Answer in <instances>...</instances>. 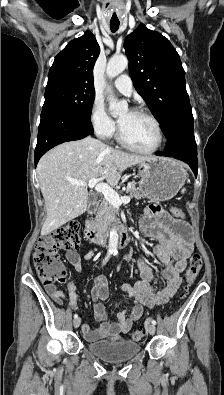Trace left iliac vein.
Returning <instances> with one entry per match:
<instances>
[{
	"label": "left iliac vein",
	"mask_w": 224,
	"mask_h": 395,
	"mask_svg": "<svg viewBox=\"0 0 224 395\" xmlns=\"http://www.w3.org/2000/svg\"><path fill=\"white\" fill-rule=\"evenodd\" d=\"M147 331L149 332V334L154 335L155 331H156L155 325H153V324L148 325Z\"/></svg>",
	"instance_id": "obj_1"
}]
</instances>
